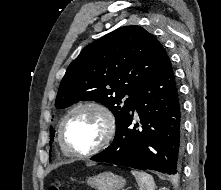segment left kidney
Returning a JSON list of instances; mask_svg holds the SVG:
<instances>
[{"instance_id": "5707ae66", "label": "left kidney", "mask_w": 221, "mask_h": 190, "mask_svg": "<svg viewBox=\"0 0 221 190\" xmlns=\"http://www.w3.org/2000/svg\"><path fill=\"white\" fill-rule=\"evenodd\" d=\"M159 190H168V189L164 187V188H160Z\"/></svg>"}]
</instances>
